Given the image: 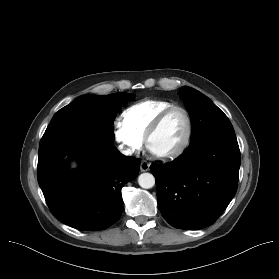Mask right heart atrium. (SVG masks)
<instances>
[{"mask_svg":"<svg viewBox=\"0 0 279 279\" xmlns=\"http://www.w3.org/2000/svg\"><path fill=\"white\" fill-rule=\"evenodd\" d=\"M113 136L119 147L126 154H134L141 150L143 139L128 129L122 122L117 121L113 127Z\"/></svg>","mask_w":279,"mask_h":279,"instance_id":"d8ad5b80","label":"right heart atrium"}]
</instances>
